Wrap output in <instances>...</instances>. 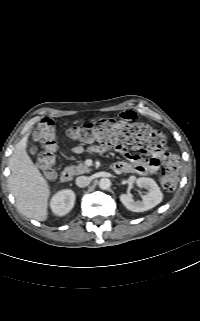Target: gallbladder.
<instances>
[{
	"label": "gallbladder",
	"mask_w": 200,
	"mask_h": 321,
	"mask_svg": "<svg viewBox=\"0 0 200 321\" xmlns=\"http://www.w3.org/2000/svg\"><path fill=\"white\" fill-rule=\"evenodd\" d=\"M30 154L35 155L38 152V147L37 146H32L30 147Z\"/></svg>",
	"instance_id": "bac80fb5"
}]
</instances>
